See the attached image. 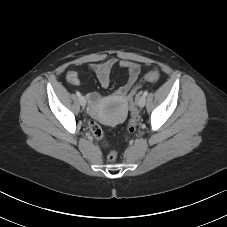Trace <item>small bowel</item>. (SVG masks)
<instances>
[{
    "label": "small bowel",
    "mask_w": 227,
    "mask_h": 227,
    "mask_svg": "<svg viewBox=\"0 0 227 227\" xmlns=\"http://www.w3.org/2000/svg\"><path fill=\"white\" fill-rule=\"evenodd\" d=\"M118 65L122 69L126 70L128 73L127 81L124 85L119 87L115 92L114 96L119 99H124L129 92L133 89L135 83L138 80L140 75V65L129 61V60H118L116 58H110L103 62L91 63L89 68L97 77V80L102 88H108L110 85V74L112 69ZM66 80L68 83L72 85L80 84V77L78 72L69 71L66 74ZM88 100L91 106V109L94 110L100 100L101 97L97 92H91L88 94Z\"/></svg>",
    "instance_id": "small-bowel-1"
}]
</instances>
